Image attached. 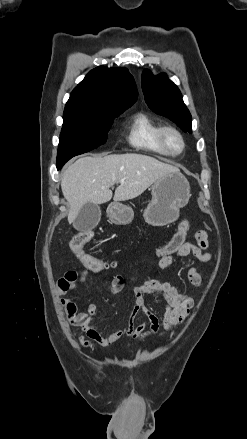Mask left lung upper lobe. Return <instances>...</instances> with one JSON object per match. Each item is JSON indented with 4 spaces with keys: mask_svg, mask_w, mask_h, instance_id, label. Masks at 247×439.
<instances>
[{
    "mask_svg": "<svg viewBox=\"0 0 247 439\" xmlns=\"http://www.w3.org/2000/svg\"><path fill=\"white\" fill-rule=\"evenodd\" d=\"M142 90L150 109L168 117L183 131L192 132L191 114L182 100L181 92L165 74L153 76L151 71L145 69L142 73Z\"/></svg>",
    "mask_w": 247,
    "mask_h": 439,
    "instance_id": "1",
    "label": "left lung upper lobe"
}]
</instances>
